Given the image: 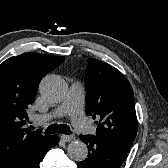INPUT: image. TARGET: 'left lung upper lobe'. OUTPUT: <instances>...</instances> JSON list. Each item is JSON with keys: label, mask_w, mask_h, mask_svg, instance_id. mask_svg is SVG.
Returning <instances> with one entry per match:
<instances>
[{"label": "left lung upper lobe", "mask_w": 168, "mask_h": 168, "mask_svg": "<svg viewBox=\"0 0 168 168\" xmlns=\"http://www.w3.org/2000/svg\"><path fill=\"white\" fill-rule=\"evenodd\" d=\"M87 62L86 113L100 118L96 136L130 150L138 129L132 87L111 65L93 58Z\"/></svg>", "instance_id": "5c2ea615"}]
</instances>
